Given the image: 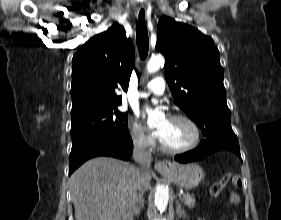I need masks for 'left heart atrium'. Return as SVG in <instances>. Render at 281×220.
<instances>
[{
  "instance_id": "39dd6f15",
  "label": "left heart atrium",
  "mask_w": 281,
  "mask_h": 220,
  "mask_svg": "<svg viewBox=\"0 0 281 220\" xmlns=\"http://www.w3.org/2000/svg\"><path fill=\"white\" fill-rule=\"evenodd\" d=\"M155 135L161 139V137H162V131H161V130H157V131L155 132Z\"/></svg>"
}]
</instances>
